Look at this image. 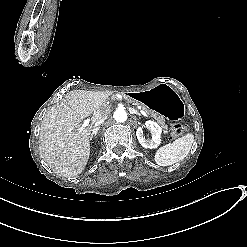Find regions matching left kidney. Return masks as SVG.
I'll return each mask as SVG.
<instances>
[{"instance_id": "obj_1", "label": "left kidney", "mask_w": 247, "mask_h": 247, "mask_svg": "<svg viewBox=\"0 0 247 247\" xmlns=\"http://www.w3.org/2000/svg\"><path fill=\"white\" fill-rule=\"evenodd\" d=\"M145 126L151 133V139H145L142 127H138L136 131V136L139 143L144 148H157L161 143L162 128L156 122L151 120L146 121Z\"/></svg>"}]
</instances>
